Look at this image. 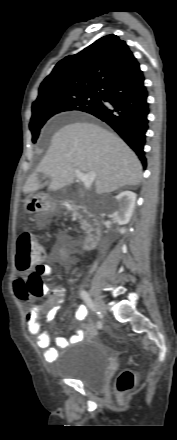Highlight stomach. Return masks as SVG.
Masks as SVG:
<instances>
[{
    "label": "stomach",
    "mask_w": 177,
    "mask_h": 440,
    "mask_svg": "<svg viewBox=\"0 0 177 440\" xmlns=\"http://www.w3.org/2000/svg\"><path fill=\"white\" fill-rule=\"evenodd\" d=\"M24 210L36 217H45L59 212V205L47 195L39 193L31 195L25 200Z\"/></svg>",
    "instance_id": "0dacf381"
}]
</instances>
